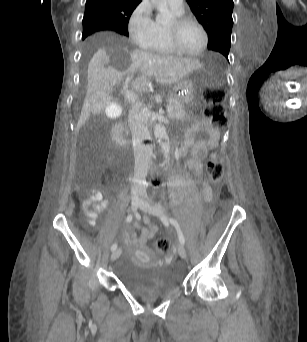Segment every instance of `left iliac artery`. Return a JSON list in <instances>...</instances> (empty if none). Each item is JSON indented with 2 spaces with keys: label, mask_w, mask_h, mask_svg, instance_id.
Wrapping results in <instances>:
<instances>
[{
  "label": "left iliac artery",
  "mask_w": 307,
  "mask_h": 342,
  "mask_svg": "<svg viewBox=\"0 0 307 342\" xmlns=\"http://www.w3.org/2000/svg\"><path fill=\"white\" fill-rule=\"evenodd\" d=\"M161 220L163 222H170L176 228L177 233H178L179 241H180L181 244L184 245L185 244V237H184V235H183V233L181 231L179 223L175 219L169 218V217H162Z\"/></svg>",
  "instance_id": "left-iliac-artery-1"
}]
</instances>
